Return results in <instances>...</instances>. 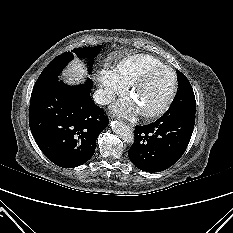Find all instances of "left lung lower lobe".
Returning <instances> with one entry per match:
<instances>
[{
    "mask_svg": "<svg viewBox=\"0 0 233 233\" xmlns=\"http://www.w3.org/2000/svg\"><path fill=\"white\" fill-rule=\"evenodd\" d=\"M195 115L165 113L154 123L136 126L130 161L140 170L160 172L175 164L191 139Z\"/></svg>",
    "mask_w": 233,
    "mask_h": 233,
    "instance_id": "left-lung-lower-lobe-1",
    "label": "left lung lower lobe"
}]
</instances>
